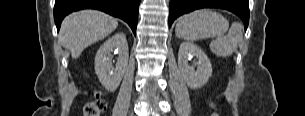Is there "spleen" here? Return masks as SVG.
Returning a JSON list of instances; mask_svg holds the SVG:
<instances>
[{
    "instance_id": "3e777b00",
    "label": "spleen",
    "mask_w": 305,
    "mask_h": 116,
    "mask_svg": "<svg viewBox=\"0 0 305 116\" xmlns=\"http://www.w3.org/2000/svg\"><path fill=\"white\" fill-rule=\"evenodd\" d=\"M228 28L229 22L221 14L199 9L179 17L175 33L178 38L192 42L216 37L215 45L223 47L226 44L224 34Z\"/></svg>"
}]
</instances>
